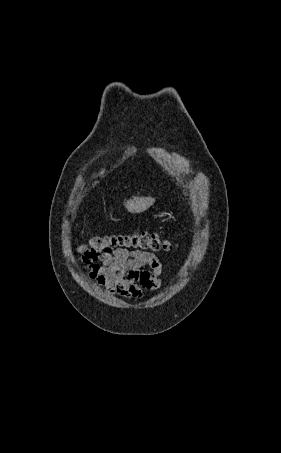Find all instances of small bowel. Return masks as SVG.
<instances>
[{
    "label": "small bowel",
    "mask_w": 281,
    "mask_h": 453,
    "mask_svg": "<svg viewBox=\"0 0 281 453\" xmlns=\"http://www.w3.org/2000/svg\"><path fill=\"white\" fill-rule=\"evenodd\" d=\"M101 258L100 265L87 261L86 278L109 294L141 299L144 291L158 290L165 280L164 267L154 253L117 247L103 250Z\"/></svg>",
    "instance_id": "1"
}]
</instances>
